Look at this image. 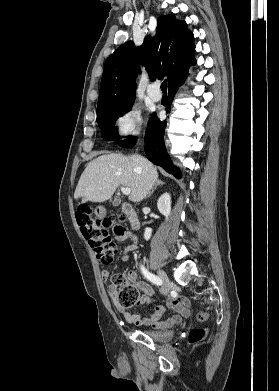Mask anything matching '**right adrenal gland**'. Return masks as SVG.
Returning a JSON list of instances; mask_svg holds the SVG:
<instances>
[{"label": "right adrenal gland", "instance_id": "2a0ac1e0", "mask_svg": "<svg viewBox=\"0 0 279 391\" xmlns=\"http://www.w3.org/2000/svg\"><path fill=\"white\" fill-rule=\"evenodd\" d=\"M163 184H165L163 181L158 180L157 183L153 186L152 190L149 192L148 197L151 196V195L153 194L154 190H155L158 186L163 185Z\"/></svg>", "mask_w": 279, "mask_h": 391}]
</instances>
